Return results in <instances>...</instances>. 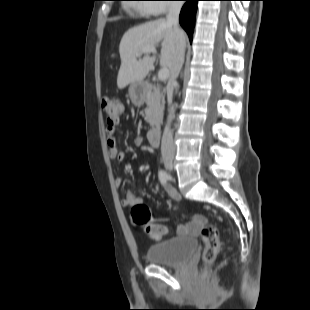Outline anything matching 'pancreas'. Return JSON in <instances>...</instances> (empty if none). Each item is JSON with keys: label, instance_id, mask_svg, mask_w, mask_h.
Wrapping results in <instances>:
<instances>
[{"label": "pancreas", "instance_id": "pancreas-1", "mask_svg": "<svg viewBox=\"0 0 310 310\" xmlns=\"http://www.w3.org/2000/svg\"><path fill=\"white\" fill-rule=\"evenodd\" d=\"M146 104V121L151 127H155L162 122L165 104L164 94L160 92L159 87L147 91Z\"/></svg>", "mask_w": 310, "mask_h": 310}]
</instances>
